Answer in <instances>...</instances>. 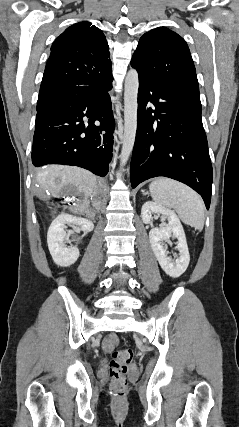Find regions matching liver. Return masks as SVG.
<instances>
[{
	"label": "liver",
	"mask_w": 239,
	"mask_h": 427,
	"mask_svg": "<svg viewBox=\"0 0 239 427\" xmlns=\"http://www.w3.org/2000/svg\"><path fill=\"white\" fill-rule=\"evenodd\" d=\"M37 183L40 197L45 198V192L53 197H60L68 185L76 188V195H83L84 201L77 205V210L83 213L89 207V198L96 196L97 177L83 168L75 166L49 165L38 170ZM75 200V199H74ZM93 206H99V201L93 200Z\"/></svg>",
	"instance_id": "6515ba94"
}]
</instances>
